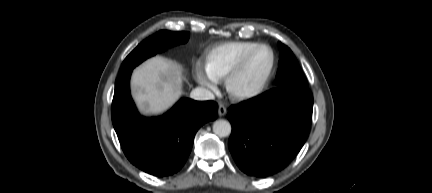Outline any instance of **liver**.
Wrapping results in <instances>:
<instances>
[{
  "label": "liver",
  "mask_w": 432,
  "mask_h": 193,
  "mask_svg": "<svg viewBox=\"0 0 432 193\" xmlns=\"http://www.w3.org/2000/svg\"><path fill=\"white\" fill-rule=\"evenodd\" d=\"M183 67L163 57H153L137 67L132 75L133 95L144 114L167 110L183 93Z\"/></svg>",
  "instance_id": "obj_1"
}]
</instances>
